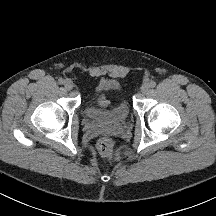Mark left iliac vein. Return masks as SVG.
I'll use <instances>...</instances> for the list:
<instances>
[{
  "mask_svg": "<svg viewBox=\"0 0 216 216\" xmlns=\"http://www.w3.org/2000/svg\"><path fill=\"white\" fill-rule=\"evenodd\" d=\"M149 89H150V85L148 83H145L141 86V92L144 94L147 93Z\"/></svg>",
  "mask_w": 216,
  "mask_h": 216,
  "instance_id": "obj_1",
  "label": "left iliac vein"
}]
</instances>
